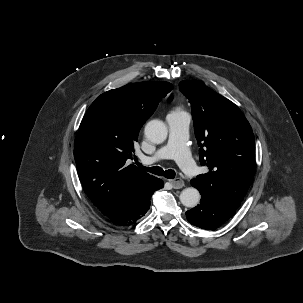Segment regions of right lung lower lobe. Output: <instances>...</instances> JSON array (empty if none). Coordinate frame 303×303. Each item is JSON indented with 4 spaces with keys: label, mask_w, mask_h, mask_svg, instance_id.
Instances as JSON below:
<instances>
[{
    "label": "right lung lower lobe",
    "mask_w": 303,
    "mask_h": 303,
    "mask_svg": "<svg viewBox=\"0 0 303 303\" xmlns=\"http://www.w3.org/2000/svg\"><path fill=\"white\" fill-rule=\"evenodd\" d=\"M164 186L161 179L154 178L130 198L125 199L105 216L116 226L125 227L135 224L150 208L153 192Z\"/></svg>",
    "instance_id": "right-lung-lower-lobe-1"
}]
</instances>
